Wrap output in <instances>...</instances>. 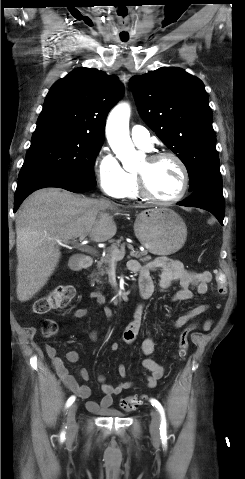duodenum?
Here are the masks:
<instances>
[{
    "label": "duodenum",
    "mask_w": 245,
    "mask_h": 479,
    "mask_svg": "<svg viewBox=\"0 0 245 479\" xmlns=\"http://www.w3.org/2000/svg\"><path fill=\"white\" fill-rule=\"evenodd\" d=\"M92 265V259L90 256H84L76 260L74 266L76 268H88Z\"/></svg>",
    "instance_id": "410a0bca"
}]
</instances>
